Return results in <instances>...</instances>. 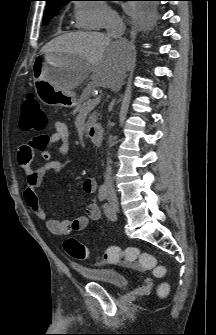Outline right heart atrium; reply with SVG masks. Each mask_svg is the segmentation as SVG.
<instances>
[{
    "instance_id": "1",
    "label": "right heart atrium",
    "mask_w": 216,
    "mask_h": 335,
    "mask_svg": "<svg viewBox=\"0 0 216 335\" xmlns=\"http://www.w3.org/2000/svg\"><path fill=\"white\" fill-rule=\"evenodd\" d=\"M74 13L77 26L82 29L100 30L106 24L120 21L119 15L100 1H78Z\"/></svg>"
}]
</instances>
